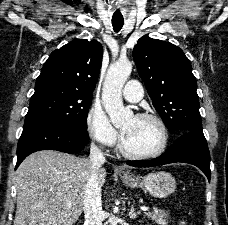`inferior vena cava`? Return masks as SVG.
<instances>
[{
    "instance_id": "602c4592",
    "label": "inferior vena cava",
    "mask_w": 228,
    "mask_h": 225,
    "mask_svg": "<svg viewBox=\"0 0 228 225\" xmlns=\"http://www.w3.org/2000/svg\"><path fill=\"white\" fill-rule=\"evenodd\" d=\"M89 161L92 163V171L87 179L85 185V199H84V217L85 225H102L103 211L101 201V185L99 183L98 171L105 163V157L94 145L91 143Z\"/></svg>"
}]
</instances>
